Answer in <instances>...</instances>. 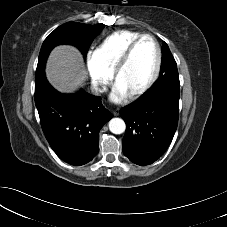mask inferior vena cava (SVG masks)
<instances>
[{
    "instance_id": "inferior-vena-cava-1",
    "label": "inferior vena cava",
    "mask_w": 227,
    "mask_h": 227,
    "mask_svg": "<svg viewBox=\"0 0 227 227\" xmlns=\"http://www.w3.org/2000/svg\"><path fill=\"white\" fill-rule=\"evenodd\" d=\"M91 90L95 95H99L106 91V86L100 85L98 82H94L92 84Z\"/></svg>"
}]
</instances>
